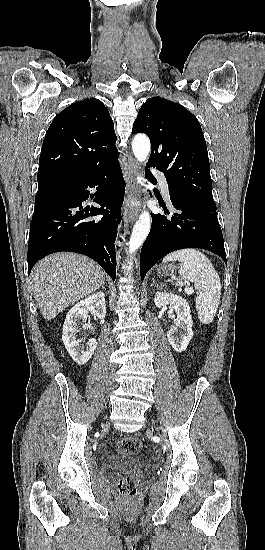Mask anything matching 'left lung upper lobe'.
<instances>
[{"label":"left lung upper lobe","instance_id":"obj_1","mask_svg":"<svg viewBox=\"0 0 265 550\" xmlns=\"http://www.w3.org/2000/svg\"><path fill=\"white\" fill-rule=\"evenodd\" d=\"M133 133L149 136L152 150L147 165L164 173L170 194L216 207L206 142L192 113L170 100L150 98L138 112Z\"/></svg>","mask_w":265,"mask_h":550}]
</instances>
